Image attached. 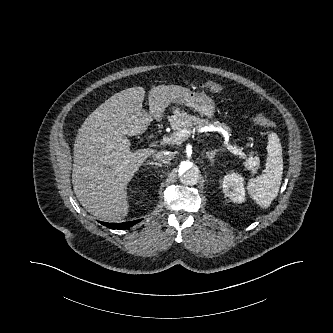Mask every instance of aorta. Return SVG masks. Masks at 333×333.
Returning <instances> with one entry per match:
<instances>
[{
    "mask_svg": "<svg viewBox=\"0 0 333 333\" xmlns=\"http://www.w3.org/2000/svg\"><path fill=\"white\" fill-rule=\"evenodd\" d=\"M176 169L182 183L187 185L197 184L200 177V171L190 160L181 159L178 161Z\"/></svg>",
    "mask_w": 333,
    "mask_h": 333,
    "instance_id": "aorta-1",
    "label": "aorta"
}]
</instances>
